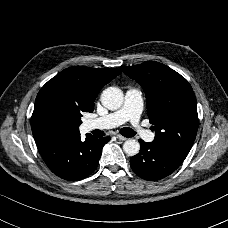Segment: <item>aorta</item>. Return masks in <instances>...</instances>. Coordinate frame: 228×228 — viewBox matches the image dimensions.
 <instances>
[{
  "instance_id": "1",
  "label": "aorta",
  "mask_w": 228,
  "mask_h": 228,
  "mask_svg": "<svg viewBox=\"0 0 228 228\" xmlns=\"http://www.w3.org/2000/svg\"><path fill=\"white\" fill-rule=\"evenodd\" d=\"M123 92L117 87H108L101 94V103L109 110H117L123 104ZM123 150L129 156L139 153L140 144L136 140H127L123 144Z\"/></svg>"
}]
</instances>
